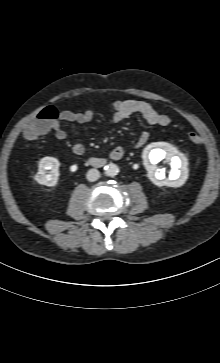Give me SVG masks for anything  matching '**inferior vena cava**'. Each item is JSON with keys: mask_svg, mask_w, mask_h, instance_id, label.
<instances>
[{"mask_svg": "<svg viewBox=\"0 0 220 363\" xmlns=\"http://www.w3.org/2000/svg\"><path fill=\"white\" fill-rule=\"evenodd\" d=\"M86 177L88 181L94 182L100 177V172L97 169H90L88 170Z\"/></svg>", "mask_w": 220, "mask_h": 363, "instance_id": "inferior-vena-cava-1", "label": "inferior vena cava"}]
</instances>
